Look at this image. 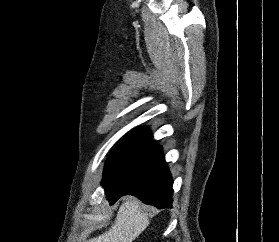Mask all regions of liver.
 Masks as SVG:
<instances>
[{"label":"liver","instance_id":"obj_1","mask_svg":"<svg viewBox=\"0 0 279 242\" xmlns=\"http://www.w3.org/2000/svg\"><path fill=\"white\" fill-rule=\"evenodd\" d=\"M149 223V215L147 212H141L140 202L130 197L120 206L111 228L86 242H132Z\"/></svg>","mask_w":279,"mask_h":242}]
</instances>
